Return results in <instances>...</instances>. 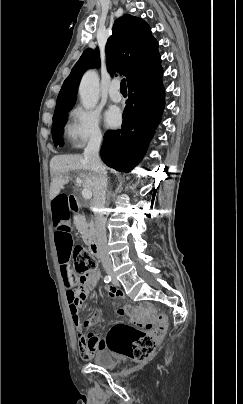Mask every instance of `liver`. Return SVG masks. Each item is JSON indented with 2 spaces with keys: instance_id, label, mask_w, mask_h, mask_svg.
<instances>
[{
  "instance_id": "obj_1",
  "label": "liver",
  "mask_w": 243,
  "mask_h": 404,
  "mask_svg": "<svg viewBox=\"0 0 243 404\" xmlns=\"http://www.w3.org/2000/svg\"><path fill=\"white\" fill-rule=\"evenodd\" d=\"M50 172L52 176L50 200H54L65 184H68L70 172H77L80 178H83V188L93 192L92 176L85 174V172H91V166L84 156H54L50 162Z\"/></svg>"
}]
</instances>
